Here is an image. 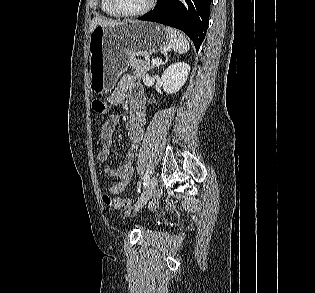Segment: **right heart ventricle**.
Masks as SVG:
<instances>
[{
	"mask_svg": "<svg viewBox=\"0 0 315 293\" xmlns=\"http://www.w3.org/2000/svg\"><path fill=\"white\" fill-rule=\"evenodd\" d=\"M100 4H101V10L105 15L109 17H113V18L121 17L120 15H118L116 12L113 11V9L110 6L109 0H101Z\"/></svg>",
	"mask_w": 315,
	"mask_h": 293,
	"instance_id": "1",
	"label": "right heart ventricle"
}]
</instances>
